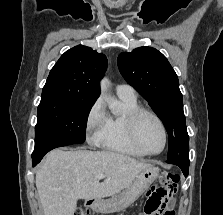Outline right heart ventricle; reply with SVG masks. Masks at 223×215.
<instances>
[{"mask_svg":"<svg viewBox=\"0 0 223 215\" xmlns=\"http://www.w3.org/2000/svg\"><path fill=\"white\" fill-rule=\"evenodd\" d=\"M123 104L121 113L108 114V123L99 139V143L106 149L126 155L141 156L131 144L128 135V121L133 112L141 106L136 98L120 97Z\"/></svg>","mask_w":223,"mask_h":215,"instance_id":"right-heart-ventricle-1","label":"right heart ventricle"}]
</instances>
